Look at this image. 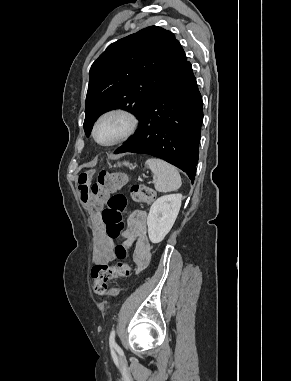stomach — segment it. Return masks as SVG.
<instances>
[{
	"label": "stomach",
	"instance_id": "obj_1",
	"mask_svg": "<svg viewBox=\"0 0 291 381\" xmlns=\"http://www.w3.org/2000/svg\"><path fill=\"white\" fill-rule=\"evenodd\" d=\"M124 165L129 166L130 164L128 162H125Z\"/></svg>",
	"mask_w": 291,
	"mask_h": 381
}]
</instances>
